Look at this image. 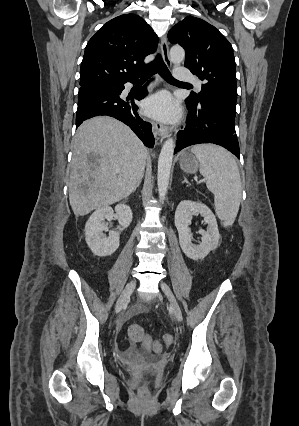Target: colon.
I'll return each mask as SVG.
<instances>
[{
	"label": "colon",
	"instance_id": "obj_1",
	"mask_svg": "<svg viewBox=\"0 0 299 426\" xmlns=\"http://www.w3.org/2000/svg\"><path fill=\"white\" fill-rule=\"evenodd\" d=\"M128 337L131 341L142 343L144 347L152 349L155 352H161L170 347L173 343V338L170 334H165L158 340L148 337L143 328L138 324H132L129 326ZM138 395L141 399H147L149 397L148 388L146 386H141L138 390Z\"/></svg>",
	"mask_w": 299,
	"mask_h": 426
}]
</instances>
